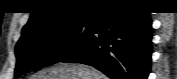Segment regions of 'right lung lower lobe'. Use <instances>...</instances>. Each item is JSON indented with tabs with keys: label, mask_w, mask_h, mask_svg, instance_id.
Listing matches in <instances>:
<instances>
[{
	"label": "right lung lower lobe",
	"mask_w": 177,
	"mask_h": 79,
	"mask_svg": "<svg viewBox=\"0 0 177 79\" xmlns=\"http://www.w3.org/2000/svg\"><path fill=\"white\" fill-rule=\"evenodd\" d=\"M149 13L135 6L104 9L89 37L60 62L91 65L111 79H147L152 53Z\"/></svg>",
	"instance_id": "1"
}]
</instances>
